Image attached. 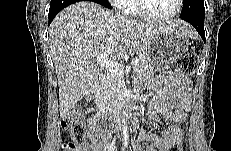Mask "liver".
<instances>
[{
	"label": "liver",
	"mask_w": 231,
	"mask_h": 151,
	"mask_svg": "<svg viewBox=\"0 0 231 151\" xmlns=\"http://www.w3.org/2000/svg\"><path fill=\"white\" fill-rule=\"evenodd\" d=\"M168 26L187 36L195 35L192 26L181 20L140 23L92 1L64 8L48 30L58 78L60 116H66L98 81L96 54L106 52V58L114 61L128 52L143 53Z\"/></svg>",
	"instance_id": "liver-1"
}]
</instances>
